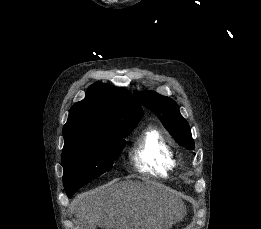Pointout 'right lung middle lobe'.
<instances>
[{
    "mask_svg": "<svg viewBox=\"0 0 261 229\" xmlns=\"http://www.w3.org/2000/svg\"><path fill=\"white\" fill-rule=\"evenodd\" d=\"M136 124H124L103 131L105 138L81 140L64 146L63 183L69 198L81 187L112 168Z\"/></svg>",
    "mask_w": 261,
    "mask_h": 229,
    "instance_id": "dd1d6c3e",
    "label": "right lung middle lobe"
}]
</instances>
